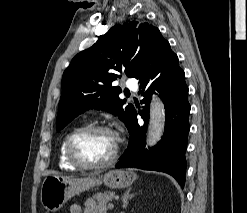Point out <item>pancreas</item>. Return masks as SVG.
<instances>
[{
	"label": "pancreas",
	"mask_w": 247,
	"mask_h": 213,
	"mask_svg": "<svg viewBox=\"0 0 247 213\" xmlns=\"http://www.w3.org/2000/svg\"><path fill=\"white\" fill-rule=\"evenodd\" d=\"M115 194L112 191H105L103 193H97L93 196V198L97 201V204L100 208L106 210L108 208V204L114 198Z\"/></svg>",
	"instance_id": "cf45deb5"
}]
</instances>
